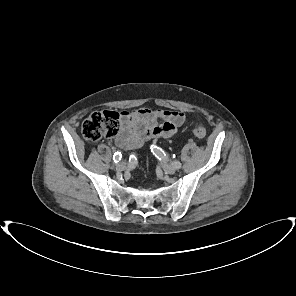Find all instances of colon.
<instances>
[{
    "instance_id": "obj_1",
    "label": "colon",
    "mask_w": 296,
    "mask_h": 296,
    "mask_svg": "<svg viewBox=\"0 0 296 296\" xmlns=\"http://www.w3.org/2000/svg\"><path fill=\"white\" fill-rule=\"evenodd\" d=\"M121 113L114 110H103L92 113L87 117L81 127L83 136L91 141L97 142L102 138H110L118 134L120 130ZM193 134L202 139L206 136L203 126L195 124Z\"/></svg>"
}]
</instances>
